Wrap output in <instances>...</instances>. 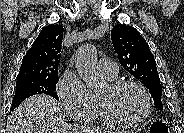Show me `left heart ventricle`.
Here are the masks:
<instances>
[{
    "label": "left heart ventricle",
    "mask_w": 184,
    "mask_h": 133,
    "mask_svg": "<svg viewBox=\"0 0 184 133\" xmlns=\"http://www.w3.org/2000/svg\"><path fill=\"white\" fill-rule=\"evenodd\" d=\"M116 115L125 119L140 117L145 108L142 94L134 87H125L115 93H111L107 85L99 92Z\"/></svg>",
    "instance_id": "1"
}]
</instances>
